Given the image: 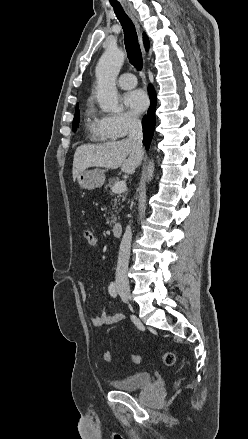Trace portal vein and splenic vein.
I'll use <instances>...</instances> for the list:
<instances>
[{"mask_svg":"<svg viewBox=\"0 0 248 439\" xmlns=\"http://www.w3.org/2000/svg\"><path fill=\"white\" fill-rule=\"evenodd\" d=\"M126 189H127V185L125 181H119L115 183L111 188L112 192L117 194L124 193Z\"/></svg>","mask_w":248,"mask_h":439,"instance_id":"18ae733b","label":"portal vein and splenic vein"}]
</instances>
